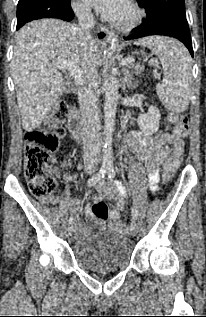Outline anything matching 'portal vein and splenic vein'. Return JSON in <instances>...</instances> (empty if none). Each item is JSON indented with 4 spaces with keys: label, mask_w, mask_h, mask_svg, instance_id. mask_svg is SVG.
Here are the masks:
<instances>
[{
    "label": "portal vein and splenic vein",
    "mask_w": 206,
    "mask_h": 317,
    "mask_svg": "<svg viewBox=\"0 0 206 317\" xmlns=\"http://www.w3.org/2000/svg\"><path fill=\"white\" fill-rule=\"evenodd\" d=\"M134 59L130 58V59H125L122 60L121 64L122 65H126L128 63L133 62ZM52 64L57 67L58 69H66L68 70L73 77L75 78L76 82L78 84H82L83 83V73L81 71V69L79 68V66L77 64H75L72 61L69 60H64V59H54L52 60Z\"/></svg>",
    "instance_id": "18ae733b"
}]
</instances>
